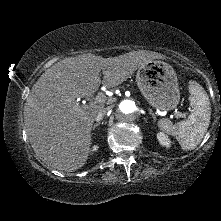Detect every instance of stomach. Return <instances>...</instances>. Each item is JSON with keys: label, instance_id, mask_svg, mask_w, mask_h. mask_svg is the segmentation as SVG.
I'll return each instance as SVG.
<instances>
[{"label": "stomach", "instance_id": "obj_1", "mask_svg": "<svg viewBox=\"0 0 221 221\" xmlns=\"http://www.w3.org/2000/svg\"><path fill=\"white\" fill-rule=\"evenodd\" d=\"M136 82L143 96L154 108L174 109L180 100L178 78L167 62L152 60L137 71Z\"/></svg>", "mask_w": 221, "mask_h": 221}]
</instances>
